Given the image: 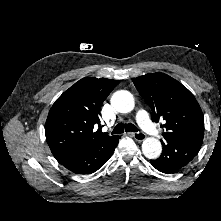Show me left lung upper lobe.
<instances>
[{
  "instance_id": "5c2ea615",
  "label": "left lung upper lobe",
  "mask_w": 221,
  "mask_h": 221,
  "mask_svg": "<svg viewBox=\"0 0 221 221\" xmlns=\"http://www.w3.org/2000/svg\"><path fill=\"white\" fill-rule=\"evenodd\" d=\"M136 88L152 109V120H165V140L203 138L204 117L194 95L172 77L150 73L134 80Z\"/></svg>"
}]
</instances>
